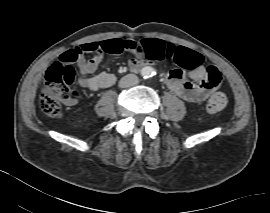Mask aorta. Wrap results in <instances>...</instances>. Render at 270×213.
Returning <instances> with one entry per match:
<instances>
[{
    "instance_id": "762f6f07",
    "label": "aorta",
    "mask_w": 270,
    "mask_h": 213,
    "mask_svg": "<svg viewBox=\"0 0 270 213\" xmlns=\"http://www.w3.org/2000/svg\"><path fill=\"white\" fill-rule=\"evenodd\" d=\"M153 74V68L152 67H145L142 70V75L144 77H150Z\"/></svg>"
}]
</instances>
